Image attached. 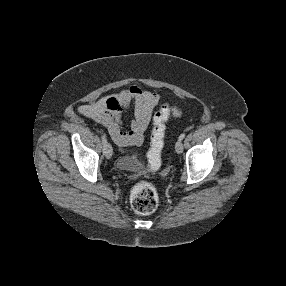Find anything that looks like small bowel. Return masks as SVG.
I'll return each instance as SVG.
<instances>
[{"instance_id":"1","label":"small bowel","mask_w":286,"mask_h":286,"mask_svg":"<svg viewBox=\"0 0 286 286\" xmlns=\"http://www.w3.org/2000/svg\"><path fill=\"white\" fill-rule=\"evenodd\" d=\"M160 101L157 92L130 85L117 93L83 105L80 112L106 127L115 145L126 150L138 147L151 120L152 112ZM131 111L129 128H124L123 115Z\"/></svg>"}]
</instances>
